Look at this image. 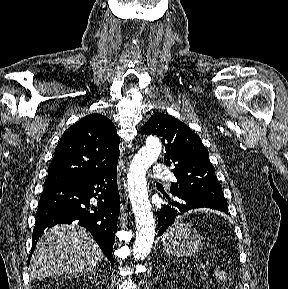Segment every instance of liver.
<instances>
[{"mask_svg": "<svg viewBox=\"0 0 288 289\" xmlns=\"http://www.w3.org/2000/svg\"><path fill=\"white\" fill-rule=\"evenodd\" d=\"M103 259V253L90 234L82 227L57 225L40 237L30 261V276L88 272Z\"/></svg>", "mask_w": 288, "mask_h": 289, "instance_id": "1", "label": "liver"}]
</instances>
